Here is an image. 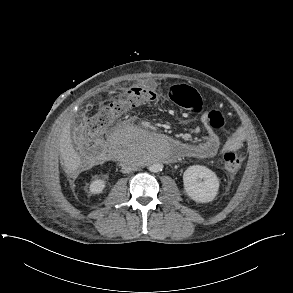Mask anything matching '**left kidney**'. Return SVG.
<instances>
[{"instance_id": "left-kidney-1", "label": "left kidney", "mask_w": 293, "mask_h": 293, "mask_svg": "<svg viewBox=\"0 0 293 293\" xmlns=\"http://www.w3.org/2000/svg\"><path fill=\"white\" fill-rule=\"evenodd\" d=\"M184 189L187 195L196 202L213 201L219 189V179L209 168L193 165L183 174Z\"/></svg>"}]
</instances>
